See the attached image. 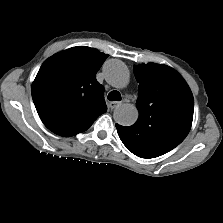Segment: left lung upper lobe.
I'll return each mask as SVG.
<instances>
[{"label":"left lung upper lobe","mask_w":223,"mask_h":223,"mask_svg":"<svg viewBox=\"0 0 223 223\" xmlns=\"http://www.w3.org/2000/svg\"><path fill=\"white\" fill-rule=\"evenodd\" d=\"M139 83V118L129 127L116 124L119 137L130 150L151 157L163 155L188 135L194 111L192 92L173 68L155 63L133 68Z\"/></svg>","instance_id":"1"}]
</instances>
